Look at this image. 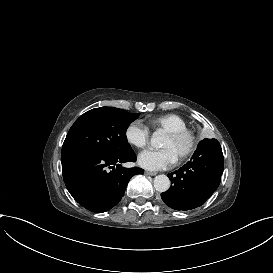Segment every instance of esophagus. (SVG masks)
<instances>
[{
  "instance_id": "34e87169",
  "label": "esophagus",
  "mask_w": 273,
  "mask_h": 273,
  "mask_svg": "<svg viewBox=\"0 0 273 273\" xmlns=\"http://www.w3.org/2000/svg\"><path fill=\"white\" fill-rule=\"evenodd\" d=\"M145 174H146V175H149V176H155V175H157L158 173H157V172H152V171H145Z\"/></svg>"
}]
</instances>
